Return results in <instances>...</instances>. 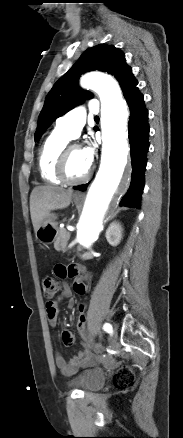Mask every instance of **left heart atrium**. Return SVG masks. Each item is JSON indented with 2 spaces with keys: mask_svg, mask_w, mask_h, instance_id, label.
Masks as SVG:
<instances>
[{
  "mask_svg": "<svg viewBox=\"0 0 183 438\" xmlns=\"http://www.w3.org/2000/svg\"><path fill=\"white\" fill-rule=\"evenodd\" d=\"M83 155L86 159V161L91 164L92 160H93V155H94V147L92 144H89L88 146L84 147L82 149Z\"/></svg>",
  "mask_w": 183,
  "mask_h": 438,
  "instance_id": "39dd6f15",
  "label": "left heart atrium"
}]
</instances>
